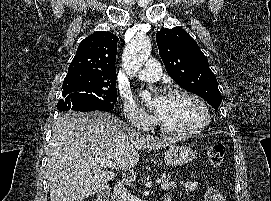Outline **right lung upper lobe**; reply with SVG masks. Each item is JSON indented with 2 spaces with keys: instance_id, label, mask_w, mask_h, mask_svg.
<instances>
[{
  "instance_id": "obj_1",
  "label": "right lung upper lobe",
  "mask_w": 271,
  "mask_h": 201,
  "mask_svg": "<svg viewBox=\"0 0 271 201\" xmlns=\"http://www.w3.org/2000/svg\"><path fill=\"white\" fill-rule=\"evenodd\" d=\"M118 37L106 31H97L78 46L68 72L116 74L115 60Z\"/></svg>"
}]
</instances>
